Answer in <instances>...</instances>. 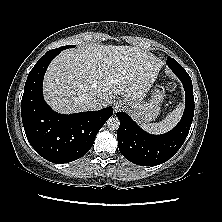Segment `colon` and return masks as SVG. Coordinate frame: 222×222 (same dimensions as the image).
Masks as SVG:
<instances>
[{"label": "colon", "mask_w": 222, "mask_h": 222, "mask_svg": "<svg viewBox=\"0 0 222 222\" xmlns=\"http://www.w3.org/2000/svg\"><path fill=\"white\" fill-rule=\"evenodd\" d=\"M167 88H168V90L169 91H174L175 89H176V84H175V82L174 81H169L168 83H167Z\"/></svg>", "instance_id": "colon-1"}]
</instances>
